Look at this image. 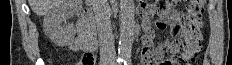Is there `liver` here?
Segmentation results:
<instances>
[{
  "label": "liver",
  "instance_id": "1",
  "mask_svg": "<svg viewBox=\"0 0 232 65\" xmlns=\"http://www.w3.org/2000/svg\"><path fill=\"white\" fill-rule=\"evenodd\" d=\"M66 0H28L33 12L39 16L47 15L50 10L63 4Z\"/></svg>",
  "mask_w": 232,
  "mask_h": 65
}]
</instances>
